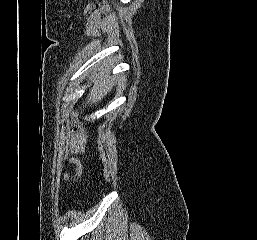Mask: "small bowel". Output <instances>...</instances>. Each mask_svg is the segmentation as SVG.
Returning a JSON list of instances; mask_svg holds the SVG:
<instances>
[{"label":"small bowel","mask_w":257,"mask_h":240,"mask_svg":"<svg viewBox=\"0 0 257 240\" xmlns=\"http://www.w3.org/2000/svg\"><path fill=\"white\" fill-rule=\"evenodd\" d=\"M85 137L82 135H74L69 141V151L72 154L70 162L76 165L77 173L80 174L82 170L81 158L84 156ZM68 178V175H66Z\"/></svg>","instance_id":"c3829d8e"}]
</instances>
